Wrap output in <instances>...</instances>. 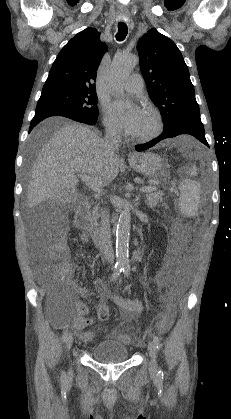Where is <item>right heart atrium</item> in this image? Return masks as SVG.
Listing matches in <instances>:
<instances>
[{"label":"right heart atrium","mask_w":231,"mask_h":419,"mask_svg":"<svg viewBox=\"0 0 231 419\" xmlns=\"http://www.w3.org/2000/svg\"><path fill=\"white\" fill-rule=\"evenodd\" d=\"M103 124L106 131L112 135H118L121 129L116 120L111 116L109 108L104 105L102 108Z\"/></svg>","instance_id":"d8ad5b80"}]
</instances>
